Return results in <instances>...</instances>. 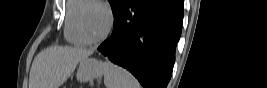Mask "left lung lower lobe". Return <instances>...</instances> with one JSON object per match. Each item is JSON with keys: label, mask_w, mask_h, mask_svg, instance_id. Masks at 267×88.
Masks as SVG:
<instances>
[{"label": "left lung lower lobe", "mask_w": 267, "mask_h": 88, "mask_svg": "<svg viewBox=\"0 0 267 88\" xmlns=\"http://www.w3.org/2000/svg\"><path fill=\"white\" fill-rule=\"evenodd\" d=\"M182 18L181 0H128L98 51L129 70L144 88H166Z\"/></svg>", "instance_id": "1"}]
</instances>
